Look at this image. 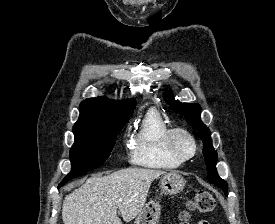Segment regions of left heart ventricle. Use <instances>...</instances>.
<instances>
[{"mask_svg":"<svg viewBox=\"0 0 275 224\" xmlns=\"http://www.w3.org/2000/svg\"><path fill=\"white\" fill-rule=\"evenodd\" d=\"M178 146L184 152H190L192 149L190 142L184 137L178 138Z\"/></svg>","mask_w":275,"mask_h":224,"instance_id":"b2bd125f","label":"left heart ventricle"}]
</instances>
